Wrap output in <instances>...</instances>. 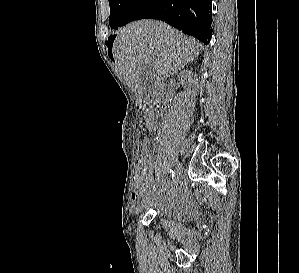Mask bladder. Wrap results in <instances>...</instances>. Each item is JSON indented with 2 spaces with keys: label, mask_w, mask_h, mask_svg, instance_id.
<instances>
[{
  "label": "bladder",
  "mask_w": 299,
  "mask_h": 273,
  "mask_svg": "<svg viewBox=\"0 0 299 273\" xmlns=\"http://www.w3.org/2000/svg\"><path fill=\"white\" fill-rule=\"evenodd\" d=\"M182 215L172 209H160L157 211V219L165 226L176 225L182 220Z\"/></svg>",
  "instance_id": "1"
}]
</instances>
